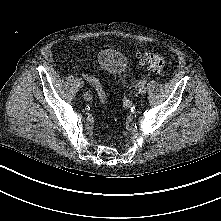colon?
Masks as SVG:
<instances>
[{"mask_svg":"<svg viewBox=\"0 0 221 221\" xmlns=\"http://www.w3.org/2000/svg\"><path fill=\"white\" fill-rule=\"evenodd\" d=\"M141 62L142 64L146 65L157 76H161L164 72L165 61L163 56L159 53L144 52L141 55ZM87 78L94 87L100 103L105 105L107 103V100L101 82L98 78H96L93 75H89Z\"/></svg>","mask_w":221,"mask_h":221,"instance_id":"5ec220e1","label":"colon"}]
</instances>
